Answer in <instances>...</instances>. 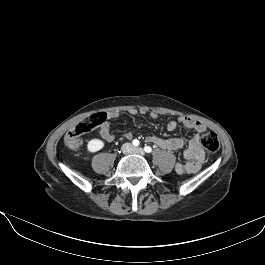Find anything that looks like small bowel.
<instances>
[{
  "label": "small bowel",
  "mask_w": 265,
  "mask_h": 265,
  "mask_svg": "<svg viewBox=\"0 0 265 265\" xmlns=\"http://www.w3.org/2000/svg\"><path fill=\"white\" fill-rule=\"evenodd\" d=\"M130 115H136L138 113L147 114L149 111L146 108H141L140 110L137 109H130ZM150 117L153 119L158 118V113L155 111H151ZM118 112L113 111L109 112L106 117L108 119H113L118 117ZM179 124L192 129L196 132V134L190 139L188 146L184 150L183 156L186 159V162H178L175 165V170L179 174L189 173L193 174L200 170L204 160H205V152L201 147L200 137L206 130V126L195 119H192L187 116H181L178 118L177 121L173 120L167 124V129L169 131H174ZM99 134L103 140L106 142H112L114 140V135L110 131V124L108 121L102 123L99 128ZM126 139H130L132 134L130 132L123 133L122 135ZM148 141L156 146L167 149V150H180L184 147L185 143L182 138L173 137V138H162L155 135L149 136Z\"/></svg>",
  "instance_id": "obj_1"
}]
</instances>
